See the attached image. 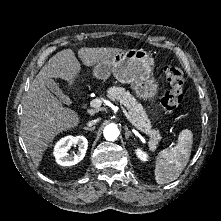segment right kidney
<instances>
[{
    "label": "right kidney",
    "mask_w": 221,
    "mask_h": 221,
    "mask_svg": "<svg viewBox=\"0 0 221 221\" xmlns=\"http://www.w3.org/2000/svg\"><path fill=\"white\" fill-rule=\"evenodd\" d=\"M72 145H77L79 151L69 154L68 150ZM88 147V140L84 136H66L60 139L54 146L56 162L61 166H73L83 160Z\"/></svg>",
    "instance_id": "obj_1"
}]
</instances>
